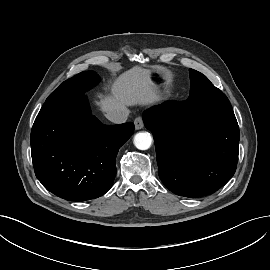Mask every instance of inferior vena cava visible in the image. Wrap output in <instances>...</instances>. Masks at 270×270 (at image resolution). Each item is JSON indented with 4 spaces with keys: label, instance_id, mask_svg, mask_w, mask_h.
I'll return each mask as SVG.
<instances>
[{
    "label": "inferior vena cava",
    "instance_id": "602c4592",
    "mask_svg": "<svg viewBox=\"0 0 270 270\" xmlns=\"http://www.w3.org/2000/svg\"><path fill=\"white\" fill-rule=\"evenodd\" d=\"M129 115V109L120 106L107 112L106 118L115 124L125 123Z\"/></svg>",
    "mask_w": 270,
    "mask_h": 270
}]
</instances>
